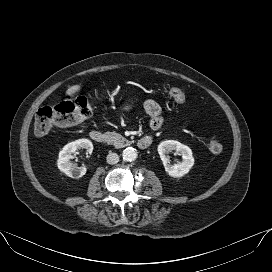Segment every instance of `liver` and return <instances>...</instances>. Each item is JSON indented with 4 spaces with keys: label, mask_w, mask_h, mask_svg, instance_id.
<instances>
[{
    "label": "liver",
    "mask_w": 272,
    "mask_h": 272,
    "mask_svg": "<svg viewBox=\"0 0 272 272\" xmlns=\"http://www.w3.org/2000/svg\"><path fill=\"white\" fill-rule=\"evenodd\" d=\"M80 88H81L80 85L71 86L67 91V95L72 97L76 92L80 90Z\"/></svg>",
    "instance_id": "6515ba94"
}]
</instances>
